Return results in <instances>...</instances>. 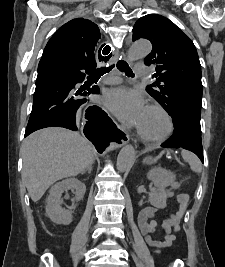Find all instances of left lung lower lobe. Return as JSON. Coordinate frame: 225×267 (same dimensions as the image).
I'll list each match as a JSON object with an SVG mask.
<instances>
[{"instance_id":"1","label":"left lung lower lobe","mask_w":225,"mask_h":267,"mask_svg":"<svg viewBox=\"0 0 225 267\" xmlns=\"http://www.w3.org/2000/svg\"><path fill=\"white\" fill-rule=\"evenodd\" d=\"M201 106L188 104L174 124L172 137L162 147L184 148L195 153L203 162L200 126Z\"/></svg>"}]
</instances>
